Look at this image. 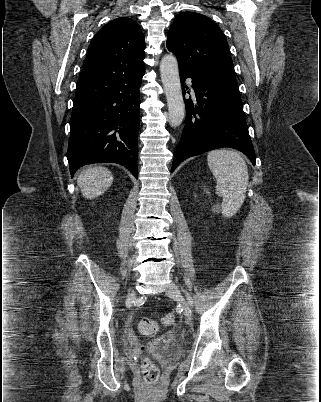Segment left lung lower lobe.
<instances>
[{"label": "left lung lower lobe", "instance_id": "0a47b994", "mask_svg": "<svg viewBox=\"0 0 321 402\" xmlns=\"http://www.w3.org/2000/svg\"><path fill=\"white\" fill-rule=\"evenodd\" d=\"M179 73L183 95L188 89L185 80L192 79L197 106L191 99H184L186 124L174 150L171 172L185 159L221 147L243 152L255 165L236 79L194 74L183 68H179Z\"/></svg>", "mask_w": 321, "mask_h": 402}]
</instances>
